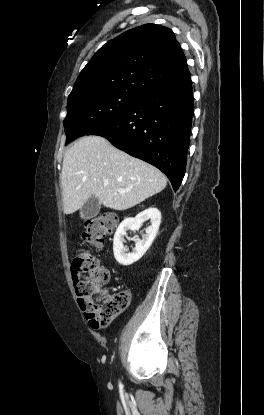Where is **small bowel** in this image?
Returning a JSON list of instances; mask_svg holds the SVG:
<instances>
[{"label":"small bowel","instance_id":"small-bowel-1","mask_svg":"<svg viewBox=\"0 0 264 415\" xmlns=\"http://www.w3.org/2000/svg\"><path fill=\"white\" fill-rule=\"evenodd\" d=\"M72 281H73V284H74V286H78V284L80 283V281H81V278H80V273H73L72 272Z\"/></svg>","mask_w":264,"mask_h":415}]
</instances>
